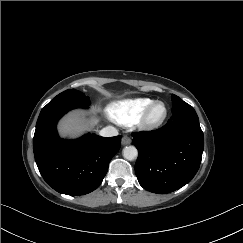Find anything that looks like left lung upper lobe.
<instances>
[{
    "instance_id": "1",
    "label": "left lung upper lobe",
    "mask_w": 243,
    "mask_h": 243,
    "mask_svg": "<svg viewBox=\"0 0 243 243\" xmlns=\"http://www.w3.org/2000/svg\"><path fill=\"white\" fill-rule=\"evenodd\" d=\"M172 101H173V108H172V117H192V118H198L195 110L192 106L184 102L182 99H180L178 96L172 94Z\"/></svg>"
}]
</instances>
